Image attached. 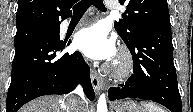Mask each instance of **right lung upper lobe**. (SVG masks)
<instances>
[{
	"mask_svg": "<svg viewBox=\"0 0 193 112\" xmlns=\"http://www.w3.org/2000/svg\"><path fill=\"white\" fill-rule=\"evenodd\" d=\"M78 0H18L16 14L17 31L59 26L71 16L70 7Z\"/></svg>",
	"mask_w": 193,
	"mask_h": 112,
	"instance_id": "obj_1",
	"label": "right lung upper lobe"
}]
</instances>
